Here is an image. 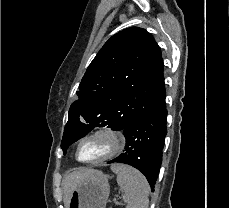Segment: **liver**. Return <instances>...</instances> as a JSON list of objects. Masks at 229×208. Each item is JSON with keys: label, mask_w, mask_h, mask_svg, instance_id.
Here are the masks:
<instances>
[{"label": "liver", "mask_w": 229, "mask_h": 208, "mask_svg": "<svg viewBox=\"0 0 229 208\" xmlns=\"http://www.w3.org/2000/svg\"><path fill=\"white\" fill-rule=\"evenodd\" d=\"M102 176V172H98V170H88V168H75V172H71L68 174L64 180V206L68 208L69 206V198L77 184L80 182H84V180H95V178H100Z\"/></svg>", "instance_id": "1"}]
</instances>
